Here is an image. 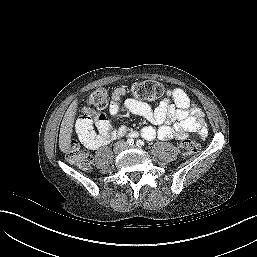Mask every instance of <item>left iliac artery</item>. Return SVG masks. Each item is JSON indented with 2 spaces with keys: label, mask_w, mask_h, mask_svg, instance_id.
Segmentation results:
<instances>
[{
  "label": "left iliac artery",
  "mask_w": 257,
  "mask_h": 257,
  "mask_svg": "<svg viewBox=\"0 0 257 257\" xmlns=\"http://www.w3.org/2000/svg\"><path fill=\"white\" fill-rule=\"evenodd\" d=\"M137 146H138V147L144 146V142L141 141V140H138V141H137Z\"/></svg>",
  "instance_id": "obj_1"
}]
</instances>
